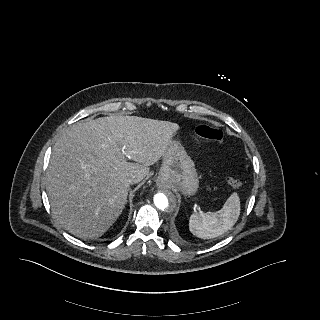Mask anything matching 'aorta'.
Returning a JSON list of instances; mask_svg holds the SVG:
<instances>
[{"label":"aorta","instance_id":"obj_1","mask_svg":"<svg viewBox=\"0 0 320 320\" xmlns=\"http://www.w3.org/2000/svg\"><path fill=\"white\" fill-rule=\"evenodd\" d=\"M177 199L168 190L154 195L152 210L155 215L162 218L163 215L170 214L177 207Z\"/></svg>","mask_w":320,"mask_h":320}]
</instances>
